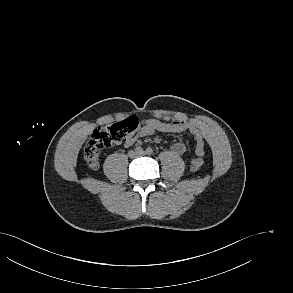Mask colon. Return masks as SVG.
Masks as SVG:
<instances>
[{
  "instance_id": "5ec220e1",
  "label": "colon",
  "mask_w": 293,
  "mask_h": 293,
  "mask_svg": "<svg viewBox=\"0 0 293 293\" xmlns=\"http://www.w3.org/2000/svg\"><path fill=\"white\" fill-rule=\"evenodd\" d=\"M137 125V120L131 117L121 123L94 130L83 149V156L87 166L91 169H96L99 163L100 152L104 148L120 143L125 136L137 128ZM202 163L203 160H197L192 163L191 171H198Z\"/></svg>"
}]
</instances>
